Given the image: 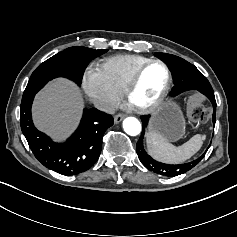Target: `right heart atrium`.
Returning a JSON list of instances; mask_svg holds the SVG:
<instances>
[{"instance_id": "obj_1", "label": "right heart atrium", "mask_w": 237, "mask_h": 237, "mask_svg": "<svg viewBox=\"0 0 237 237\" xmlns=\"http://www.w3.org/2000/svg\"><path fill=\"white\" fill-rule=\"evenodd\" d=\"M82 87L90 102L104 113L114 111L122 97L102 68L94 65L86 68Z\"/></svg>"}]
</instances>
